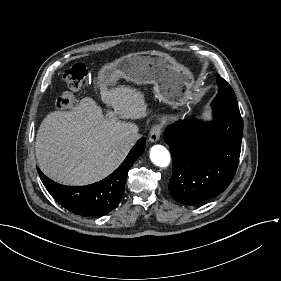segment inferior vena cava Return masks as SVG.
Returning a JSON list of instances; mask_svg holds the SVG:
<instances>
[{
  "label": "inferior vena cava",
  "mask_w": 281,
  "mask_h": 281,
  "mask_svg": "<svg viewBox=\"0 0 281 281\" xmlns=\"http://www.w3.org/2000/svg\"><path fill=\"white\" fill-rule=\"evenodd\" d=\"M121 140H123L124 142L128 143V144H133L138 140V135L136 134H123L120 137Z\"/></svg>",
  "instance_id": "inferior-vena-cava-1"
}]
</instances>
